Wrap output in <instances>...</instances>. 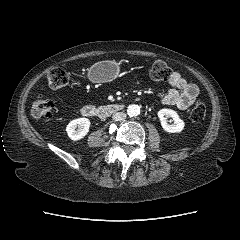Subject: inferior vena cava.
<instances>
[{
  "label": "inferior vena cava",
  "instance_id": "1",
  "mask_svg": "<svg viewBox=\"0 0 240 240\" xmlns=\"http://www.w3.org/2000/svg\"><path fill=\"white\" fill-rule=\"evenodd\" d=\"M126 118V114L123 112H117L112 115L114 121H122Z\"/></svg>",
  "mask_w": 240,
  "mask_h": 240
}]
</instances>
